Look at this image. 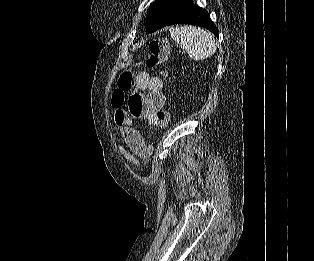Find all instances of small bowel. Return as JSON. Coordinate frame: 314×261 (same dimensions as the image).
<instances>
[{
  "label": "small bowel",
  "mask_w": 314,
  "mask_h": 261,
  "mask_svg": "<svg viewBox=\"0 0 314 261\" xmlns=\"http://www.w3.org/2000/svg\"><path fill=\"white\" fill-rule=\"evenodd\" d=\"M163 82L160 78L140 71L136 75L135 92L129 97L127 108L124 100L112 97L115 108V123L131 152L142 162L150 159L153 148L147 144L140 131L134 126V120H146L151 126L159 125L158 112L165 105ZM125 160L133 166L139 161L126 151H122Z\"/></svg>",
  "instance_id": "obj_1"
}]
</instances>
